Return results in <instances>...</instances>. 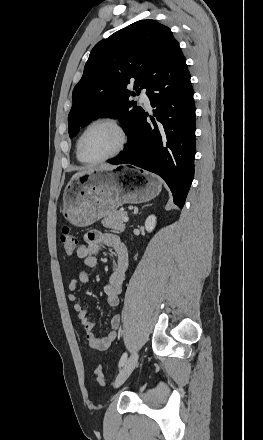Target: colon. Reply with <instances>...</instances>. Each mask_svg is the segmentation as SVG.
I'll return each mask as SVG.
<instances>
[{
    "label": "colon",
    "mask_w": 263,
    "mask_h": 440,
    "mask_svg": "<svg viewBox=\"0 0 263 440\" xmlns=\"http://www.w3.org/2000/svg\"><path fill=\"white\" fill-rule=\"evenodd\" d=\"M60 242L64 252L67 255H72L78 246V241L76 236L72 233L71 229L68 226H65L62 229L60 235ZM95 380L100 386L106 385V379L103 374V370L101 367L96 368L95 370Z\"/></svg>",
    "instance_id": "5ec220e1"
}]
</instances>
